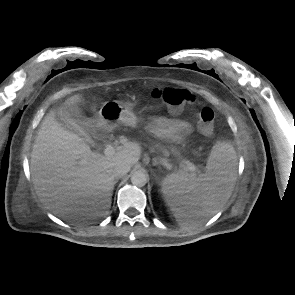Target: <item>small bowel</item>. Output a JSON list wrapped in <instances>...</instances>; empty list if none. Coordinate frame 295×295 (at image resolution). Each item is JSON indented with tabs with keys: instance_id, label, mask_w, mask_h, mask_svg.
Wrapping results in <instances>:
<instances>
[{
	"instance_id": "obj_1",
	"label": "small bowel",
	"mask_w": 295,
	"mask_h": 295,
	"mask_svg": "<svg viewBox=\"0 0 295 295\" xmlns=\"http://www.w3.org/2000/svg\"><path fill=\"white\" fill-rule=\"evenodd\" d=\"M152 127L158 135L170 140H178L191 131L189 122L164 117L153 119Z\"/></svg>"
}]
</instances>
